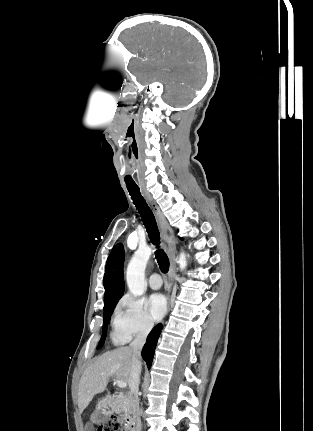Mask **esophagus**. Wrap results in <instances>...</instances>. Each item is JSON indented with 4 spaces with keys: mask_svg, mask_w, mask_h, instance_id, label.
<instances>
[{
    "mask_svg": "<svg viewBox=\"0 0 313 431\" xmlns=\"http://www.w3.org/2000/svg\"><path fill=\"white\" fill-rule=\"evenodd\" d=\"M143 195L148 202L149 206L151 207L158 225L159 230L161 234V238L163 240L165 251L170 259V269H169V282H168V289H169V300H170V307H172L173 304V285H174V277H175V262H174V255H175V239L173 232L171 228L169 227V224L161 212L158 205L155 203V201L152 199V197L146 192L143 191Z\"/></svg>",
    "mask_w": 313,
    "mask_h": 431,
    "instance_id": "esophagus-1",
    "label": "esophagus"
}]
</instances>
